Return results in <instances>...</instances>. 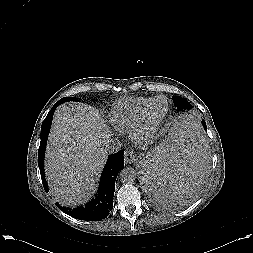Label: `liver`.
I'll return each mask as SVG.
<instances>
[{"label": "liver", "instance_id": "1", "mask_svg": "<svg viewBox=\"0 0 253 253\" xmlns=\"http://www.w3.org/2000/svg\"><path fill=\"white\" fill-rule=\"evenodd\" d=\"M111 134L98 111L83 103L60 105L45 155L50 191L64 205L87 202L96 192Z\"/></svg>", "mask_w": 253, "mask_h": 253}]
</instances>
